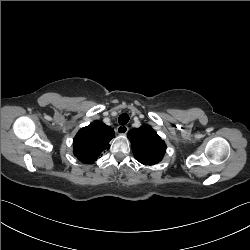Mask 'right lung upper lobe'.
Wrapping results in <instances>:
<instances>
[{
	"label": "right lung upper lobe",
	"instance_id": "right-lung-upper-lobe-1",
	"mask_svg": "<svg viewBox=\"0 0 250 250\" xmlns=\"http://www.w3.org/2000/svg\"><path fill=\"white\" fill-rule=\"evenodd\" d=\"M115 136L114 130L96 121L82 128L73 140L74 155L83 163H93L102 152L110 148L109 142Z\"/></svg>",
	"mask_w": 250,
	"mask_h": 250
}]
</instances>
